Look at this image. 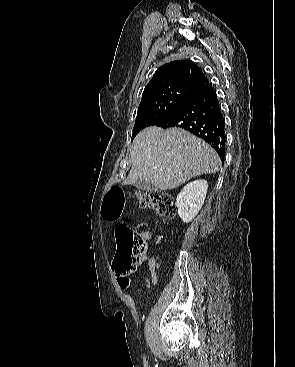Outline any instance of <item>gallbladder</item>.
Returning <instances> with one entry per match:
<instances>
[{
	"mask_svg": "<svg viewBox=\"0 0 295 367\" xmlns=\"http://www.w3.org/2000/svg\"><path fill=\"white\" fill-rule=\"evenodd\" d=\"M138 190H149L151 188V183L143 179H139L134 183Z\"/></svg>",
	"mask_w": 295,
	"mask_h": 367,
	"instance_id": "bac80fb5",
	"label": "gallbladder"
}]
</instances>
